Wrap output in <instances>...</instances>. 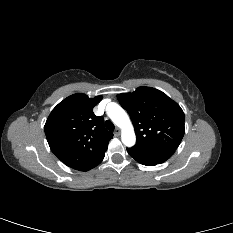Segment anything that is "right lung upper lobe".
Segmentation results:
<instances>
[{"mask_svg": "<svg viewBox=\"0 0 233 233\" xmlns=\"http://www.w3.org/2000/svg\"><path fill=\"white\" fill-rule=\"evenodd\" d=\"M101 99L73 94L52 110L45 123L50 149L68 167L87 171L107 150L113 134L104 128L103 117L93 113Z\"/></svg>", "mask_w": 233, "mask_h": 233, "instance_id": "right-lung-upper-lobe-1", "label": "right lung upper lobe"}]
</instances>
